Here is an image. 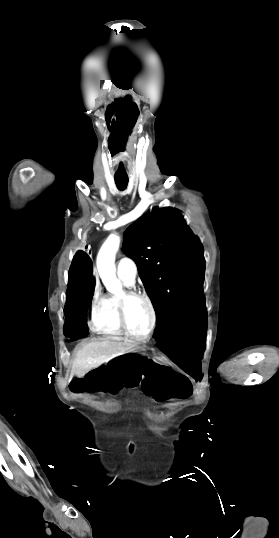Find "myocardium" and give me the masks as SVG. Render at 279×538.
Segmentation results:
<instances>
[{
  "mask_svg": "<svg viewBox=\"0 0 279 538\" xmlns=\"http://www.w3.org/2000/svg\"><path fill=\"white\" fill-rule=\"evenodd\" d=\"M136 299L143 300L148 305V307L150 309V312H151L150 327H149L148 331L145 334H142V335H138V334L133 333L130 330L128 324H127V318H126L127 306L131 301L136 300ZM117 314H118V320H119L120 326L123 329L124 333L127 336H129L130 338H132V339H134L136 341L143 342V341L148 340L156 330V327H157V311H156V307H155V305L153 303V300L151 299V297L147 293L137 291V290L131 289V288L126 289L119 296Z\"/></svg>",
  "mask_w": 279,
  "mask_h": 538,
  "instance_id": "f54148a6",
  "label": "myocardium"
}]
</instances>
